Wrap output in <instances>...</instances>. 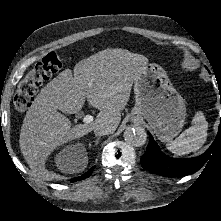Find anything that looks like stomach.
I'll use <instances>...</instances> for the list:
<instances>
[{"label":"stomach","instance_id":"0dacf381","mask_svg":"<svg viewBox=\"0 0 221 221\" xmlns=\"http://www.w3.org/2000/svg\"><path fill=\"white\" fill-rule=\"evenodd\" d=\"M134 93L132 115L145 118L160 141L168 142L181 132L186 117L185 100L161 66H143L134 79Z\"/></svg>","mask_w":221,"mask_h":221}]
</instances>
